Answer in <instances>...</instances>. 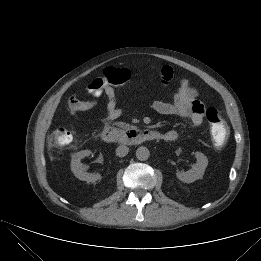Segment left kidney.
Masks as SVG:
<instances>
[{
    "label": "left kidney",
    "instance_id": "left-kidney-1",
    "mask_svg": "<svg viewBox=\"0 0 261 261\" xmlns=\"http://www.w3.org/2000/svg\"><path fill=\"white\" fill-rule=\"evenodd\" d=\"M197 162L187 172H177V178L184 183H192L201 179L208 165L207 157L201 152H195Z\"/></svg>",
    "mask_w": 261,
    "mask_h": 261
}]
</instances>
